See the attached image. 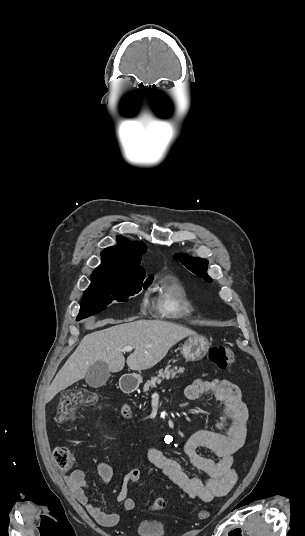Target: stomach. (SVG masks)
Masks as SVG:
<instances>
[{
  "label": "stomach",
  "mask_w": 305,
  "mask_h": 536,
  "mask_svg": "<svg viewBox=\"0 0 305 536\" xmlns=\"http://www.w3.org/2000/svg\"><path fill=\"white\" fill-rule=\"evenodd\" d=\"M210 348V344L207 338L204 336H190L182 346V356L185 360H191V362H197L204 358ZM134 380V386L141 384L142 378H129V382Z\"/></svg>",
  "instance_id": "obj_1"
}]
</instances>
